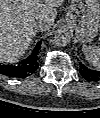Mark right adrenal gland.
I'll return each mask as SVG.
<instances>
[{
  "label": "right adrenal gland",
  "mask_w": 100,
  "mask_h": 118,
  "mask_svg": "<svg viewBox=\"0 0 100 118\" xmlns=\"http://www.w3.org/2000/svg\"><path fill=\"white\" fill-rule=\"evenodd\" d=\"M33 42H34V40H32V41H31V44H30V46H32Z\"/></svg>",
  "instance_id": "2a0ac1e0"
}]
</instances>
